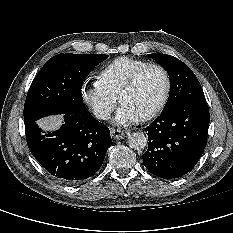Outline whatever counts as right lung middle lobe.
<instances>
[{"label": "right lung middle lobe", "mask_w": 233, "mask_h": 233, "mask_svg": "<svg viewBox=\"0 0 233 233\" xmlns=\"http://www.w3.org/2000/svg\"><path fill=\"white\" fill-rule=\"evenodd\" d=\"M108 58L105 54H58L34 78L24 105V123L50 114L83 107L82 83L91 70Z\"/></svg>", "instance_id": "1"}]
</instances>
